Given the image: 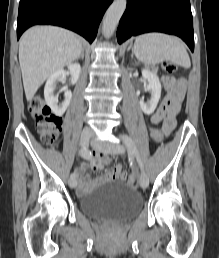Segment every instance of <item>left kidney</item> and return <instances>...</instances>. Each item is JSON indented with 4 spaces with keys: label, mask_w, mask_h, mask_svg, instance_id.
<instances>
[{
    "label": "left kidney",
    "mask_w": 219,
    "mask_h": 258,
    "mask_svg": "<svg viewBox=\"0 0 219 258\" xmlns=\"http://www.w3.org/2000/svg\"><path fill=\"white\" fill-rule=\"evenodd\" d=\"M143 77L147 81L146 89L151 93V99L145 103L144 98L140 99V107L142 111L150 115L154 112L161 97V83L156 73L147 69L142 71Z\"/></svg>",
    "instance_id": "1"
}]
</instances>
